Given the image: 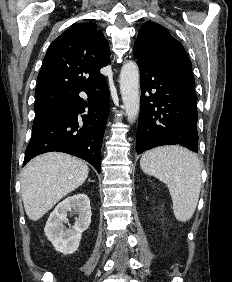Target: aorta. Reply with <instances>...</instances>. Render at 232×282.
I'll list each match as a JSON object with an SVG mask.
<instances>
[{
    "label": "aorta",
    "instance_id": "762f6f07",
    "mask_svg": "<svg viewBox=\"0 0 232 282\" xmlns=\"http://www.w3.org/2000/svg\"><path fill=\"white\" fill-rule=\"evenodd\" d=\"M120 91L128 121L133 123L140 108L139 69L138 65L133 61H128L122 66Z\"/></svg>",
    "mask_w": 232,
    "mask_h": 282
}]
</instances>
